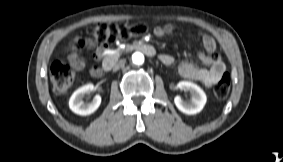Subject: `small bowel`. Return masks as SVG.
Masks as SVG:
<instances>
[{"label":"small bowel","mask_w":283,"mask_h":162,"mask_svg":"<svg viewBox=\"0 0 283 162\" xmlns=\"http://www.w3.org/2000/svg\"><path fill=\"white\" fill-rule=\"evenodd\" d=\"M174 31V26L172 24H167L163 27L158 26L154 28V34L161 37L165 34H170ZM202 43L205 52H200L198 57L200 61L207 66L198 67L191 62H184L178 67V73L186 79L195 80L201 82L205 86H212L220 81L222 76L225 74V64L223 61L214 55L216 50V42L208 34H202ZM79 47H87L94 49V55L100 61H105L109 56V51L106 49L105 45L97 46L96 41L89 37L77 36L73 39L69 46L68 62L75 70H81L85 67V62L79 54ZM160 60L165 65H172L174 59L168 54H162ZM90 74L96 78L103 77L105 75V70L102 66L92 67L90 69Z\"/></svg>","instance_id":"small-bowel-1"}]
</instances>
